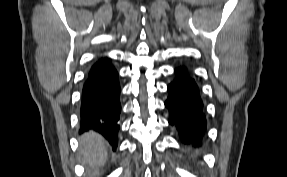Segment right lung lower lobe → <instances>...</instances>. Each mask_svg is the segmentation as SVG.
Here are the masks:
<instances>
[{
    "instance_id": "1",
    "label": "right lung lower lobe",
    "mask_w": 287,
    "mask_h": 177,
    "mask_svg": "<svg viewBox=\"0 0 287 177\" xmlns=\"http://www.w3.org/2000/svg\"><path fill=\"white\" fill-rule=\"evenodd\" d=\"M118 72L107 57L97 60L85 78L81 95L80 132L102 134L113 150L118 144L120 105Z\"/></svg>"
}]
</instances>
